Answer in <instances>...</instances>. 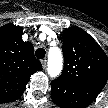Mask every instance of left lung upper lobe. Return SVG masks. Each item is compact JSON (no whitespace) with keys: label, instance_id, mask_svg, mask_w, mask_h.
<instances>
[{"label":"left lung upper lobe","instance_id":"obj_1","mask_svg":"<svg viewBox=\"0 0 108 108\" xmlns=\"http://www.w3.org/2000/svg\"><path fill=\"white\" fill-rule=\"evenodd\" d=\"M64 69L58 79L103 88L108 80V58L95 40L79 27L63 31Z\"/></svg>","mask_w":108,"mask_h":108}]
</instances>
